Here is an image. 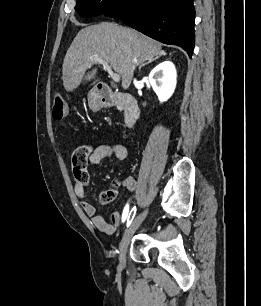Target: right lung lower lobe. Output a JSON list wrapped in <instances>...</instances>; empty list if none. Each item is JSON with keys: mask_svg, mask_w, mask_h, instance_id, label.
Here are the masks:
<instances>
[{"mask_svg": "<svg viewBox=\"0 0 261 306\" xmlns=\"http://www.w3.org/2000/svg\"><path fill=\"white\" fill-rule=\"evenodd\" d=\"M165 44L182 47L192 56L195 10L192 0H127L104 13Z\"/></svg>", "mask_w": 261, "mask_h": 306, "instance_id": "1", "label": "right lung lower lobe"}]
</instances>
